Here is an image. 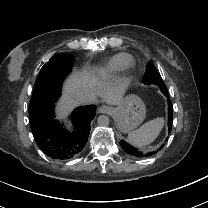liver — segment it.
<instances>
[{
    "mask_svg": "<svg viewBox=\"0 0 208 208\" xmlns=\"http://www.w3.org/2000/svg\"><path fill=\"white\" fill-rule=\"evenodd\" d=\"M100 78L103 81H108L107 77L101 75ZM84 87L89 88L93 93V98L96 96H103L105 101L110 105H119L126 93V89L122 87H111L109 85L102 86L96 82V80L91 79L88 75L82 74L80 76H75L70 79L66 84V91L71 94L74 90ZM78 101H74L77 103Z\"/></svg>",
    "mask_w": 208,
    "mask_h": 208,
    "instance_id": "1",
    "label": "liver"
}]
</instances>
